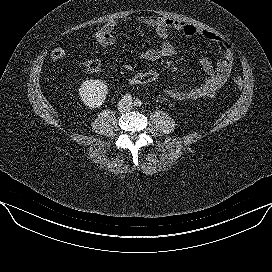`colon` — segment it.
Wrapping results in <instances>:
<instances>
[{"instance_id": "obj_1", "label": "colon", "mask_w": 272, "mask_h": 272, "mask_svg": "<svg viewBox=\"0 0 272 272\" xmlns=\"http://www.w3.org/2000/svg\"><path fill=\"white\" fill-rule=\"evenodd\" d=\"M90 40L99 46L102 47H113L116 43V38L114 34L104 30L99 29L94 31L90 35ZM66 55V50L61 47H55L51 51V57L54 60H60L64 58ZM101 65L96 60L84 61L80 64V70L85 74H95L100 71ZM161 77V72L158 69H147L144 71L137 72L131 75L128 78L129 84L133 86H140V85H149L159 80ZM234 83L237 87L243 86V80L240 77L234 78Z\"/></svg>"}]
</instances>
